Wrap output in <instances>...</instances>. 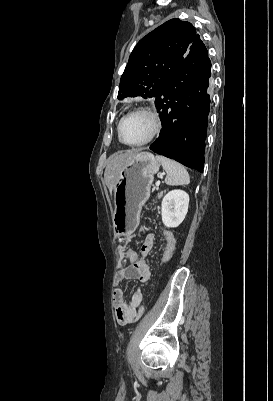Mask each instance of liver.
Instances as JSON below:
<instances>
[{
    "instance_id": "liver-1",
    "label": "liver",
    "mask_w": 273,
    "mask_h": 401,
    "mask_svg": "<svg viewBox=\"0 0 273 401\" xmlns=\"http://www.w3.org/2000/svg\"><path fill=\"white\" fill-rule=\"evenodd\" d=\"M138 156H140V152H138L136 148H133V150H126V152L121 150V152H115V154L109 156L104 172V180L106 186H108L110 190V194H112V190L119 178L121 168H123L127 162H130V160L138 158Z\"/></svg>"
}]
</instances>
